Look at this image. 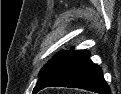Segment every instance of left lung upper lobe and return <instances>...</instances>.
I'll use <instances>...</instances> for the list:
<instances>
[{
  "label": "left lung upper lobe",
  "instance_id": "left-lung-upper-lobe-1",
  "mask_svg": "<svg viewBox=\"0 0 121 94\" xmlns=\"http://www.w3.org/2000/svg\"><path fill=\"white\" fill-rule=\"evenodd\" d=\"M72 50H61L41 69L39 76H42L46 71L51 69L56 63H58L65 56L71 54Z\"/></svg>",
  "mask_w": 121,
  "mask_h": 94
}]
</instances>
